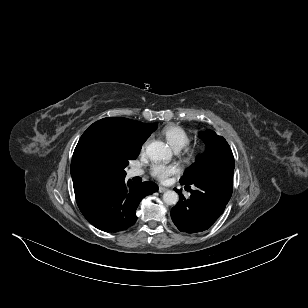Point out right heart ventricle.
I'll return each instance as SVG.
<instances>
[{
    "mask_svg": "<svg viewBox=\"0 0 308 308\" xmlns=\"http://www.w3.org/2000/svg\"><path fill=\"white\" fill-rule=\"evenodd\" d=\"M161 134L174 150H181L190 142V134L179 125H168Z\"/></svg>",
    "mask_w": 308,
    "mask_h": 308,
    "instance_id": "right-heart-ventricle-1",
    "label": "right heart ventricle"
}]
</instances>
